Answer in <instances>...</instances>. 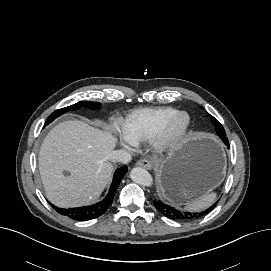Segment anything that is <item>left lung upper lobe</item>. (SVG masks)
I'll list each match as a JSON object with an SVG mask.
<instances>
[{"instance_id": "left-lung-upper-lobe-1", "label": "left lung upper lobe", "mask_w": 271, "mask_h": 271, "mask_svg": "<svg viewBox=\"0 0 271 271\" xmlns=\"http://www.w3.org/2000/svg\"><path fill=\"white\" fill-rule=\"evenodd\" d=\"M210 117H211L212 124L215 126V130H216L217 134L220 137L225 136V130H224L223 126L219 123V121L216 118H214L213 116H210Z\"/></svg>"}]
</instances>
